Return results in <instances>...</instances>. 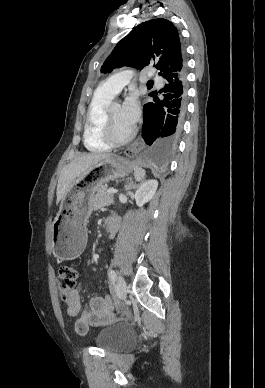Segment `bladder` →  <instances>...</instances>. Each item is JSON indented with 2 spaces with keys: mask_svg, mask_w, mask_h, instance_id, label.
Returning a JSON list of instances; mask_svg holds the SVG:
<instances>
[{
  "mask_svg": "<svg viewBox=\"0 0 265 388\" xmlns=\"http://www.w3.org/2000/svg\"><path fill=\"white\" fill-rule=\"evenodd\" d=\"M132 335L131 326L112 324L98 333L95 342L104 349H124L129 347Z\"/></svg>",
  "mask_w": 265,
  "mask_h": 388,
  "instance_id": "31cf9c89",
  "label": "bladder"
}]
</instances>
